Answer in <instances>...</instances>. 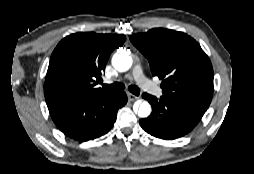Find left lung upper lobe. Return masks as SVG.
<instances>
[{"mask_svg":"<svg viewBox=\"0 0 254 174\" xmlns=\"http://www.w3.org/2000/svg\"><path fill=\"white\" fill-rule=\"evenodd\" d=\"M162 80V97L207 110L213 96L212 64L200 45L185 33L151 29L130 36Z\"/></svg>","mask_w":254,"mask_h":174,"instance_id":"left-lung-upper-lobe-1","label":"left lung upper lobe"}]
</instances>
